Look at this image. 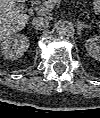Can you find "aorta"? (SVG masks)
Masks as SVG:
<instances>
[{
	"instance_id": "1",
	"label": "aorta",
	"mask_w": 100,
	"mask_h": 118,
	"mask_svg": "<svg viewBox=\"0 0 100 118\" xmlns=\"http://www.w3.org/2000/svg\"><path fill=\"white\" fill-rule=\"evenodd\" d=\"M56 32L59 36L69 37L74 34V26L69 21H60L57 23Z\"/></svg>"
}]
</instances>
